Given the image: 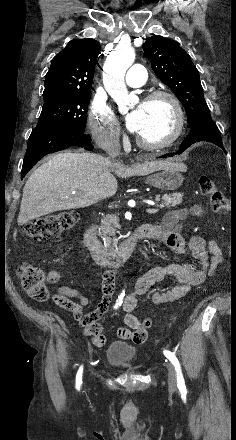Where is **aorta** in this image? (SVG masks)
<instances>
[{
	"mask_svg": "<svg viewBox=\"0 0 236 440\" xmlns=\"http://www.w3.org/2000/svg\"><path fill=\"white\" fill-rule=\"evenodd\" d=\"M135 60L134 49L130 46H118L106 59L104 64L103 83L119 110L135 100L129 95L125 84V73Z\"/></svg>",
	"mask_w": 236,
	"mask_h": 440,
	"instance_id": "762f6f07",
	"label": "aorta"
}]
</instances>
